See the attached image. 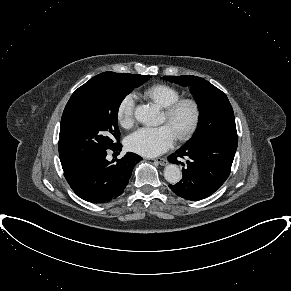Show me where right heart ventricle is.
<instances>
[{
    "instance_id": "obj_1",
    "label": "right heart ventricle",
    "mask_w": 291,
    "mask_h": 291,
    "mask_svg": "<svg viewBox=\"0 0 291 291\" xmlns=\"http://www.w3.org/2000/svg\"><path fill=\"white\" fill-rule=\"evenodd\" d=\"M144 96L162 108H166L180 99V91L168 84H156L144 91Z\"/></svg>"
}]
</instances>
